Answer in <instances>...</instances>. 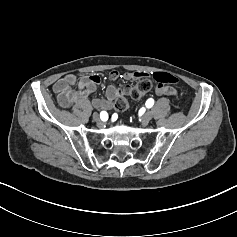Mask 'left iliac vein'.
<instances>
[{
    "label": "left iliac vein",
    "instance_id": "left-iliac-vein-1",
    "mask_svg": "<svg viewBox=\"0 0 237 237\" xmlns=\"http://www.w3.org/2000/svg\"><path fill=\"white\" fill-rule=\"evenodd\" d=\"M152 117L153 115L150 111L145 112L142 117L143 124H147L152 119Z\"/></svg>",
    "mask_w": 237,
    "mask_h": 237
}]
</instances>
